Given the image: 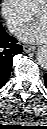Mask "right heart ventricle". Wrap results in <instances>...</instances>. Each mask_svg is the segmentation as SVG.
I'll return each instance as SVG.
<instances>
[{
	"label": "right heart ventricle",
	"mask_w": 47,
	"mask_h": 129,
	"mask_svg": "<svg viewBox=\"0 0 47 129\" xmlns=\"http://www.w3.org/2000/svg\"><path fill=\"white\" fill-rule=\"evenodd\" d=\"M27 10L33 13L45 0H21Z\"/></svg>",
	"instance_id": "e07e8e85"
}]
</instances>
